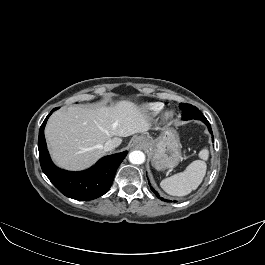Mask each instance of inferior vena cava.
Here are the masks:
<instances>
[{
  "label": "inferior vena cava",
  "mask_w": 265,
  "mask_h": 265,
  "mask_svg": "<svg viewBox=\"0 0 265 265\" xmlns=\"http://www.w3.org/2000/svg\"><path fill=\"white\" fill-rule=\"evenodd\" d=\"M115 147H117V144L113 140H109L104 144L103 149L105 152H108L113 150Z\"/></svg>",
  "instance_id": "obj_1"
}]
</instances>
